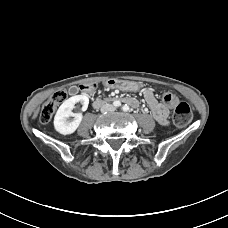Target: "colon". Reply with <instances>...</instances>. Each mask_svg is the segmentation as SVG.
Listing matches in <instances>:
<instances>
[{
    "instance_id": "colon-1",
    "label": "colon",
    "mask_w": 228,
    "mask_h": 228,
    "mask_svg": "<svg viewBox=\"0 0 228 228\" xmlns=\"http://www.w3.org/2000/svg\"><path fill=\"white\" fill-rule=\"evenodd\" d=\"M68 93L65 89H59L43 104L39 120L41 123H48L57 107L67 99ZM163 100L168 105L174 106L173 121L179 127L186 126L192 119V109L185 102H179L177 97L171 93L163 95Z\"/></svg>"
}]
</instances>
